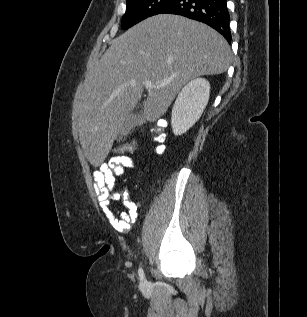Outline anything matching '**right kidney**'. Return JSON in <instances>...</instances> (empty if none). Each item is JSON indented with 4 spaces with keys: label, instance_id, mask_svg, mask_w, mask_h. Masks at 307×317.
Instances as JSON below:
<instances>
[{
    "label": "right kidney",
    "instance_id": "ca27d5eb",
    "mask_svg": "<svg viewBox=\"0 0 307 317\" xmlns=\"http://www.w3.org/2000/svg\"><path fill=\"white\" fill-rule=\"evenodd\" d=\"M210 94V84L204 78L187 83L179 92L171 114V126L175 135H182L201 117Z\"/></svg>",
    "mask_w": 307,
    "mask_h": 317
}]
</instances>
